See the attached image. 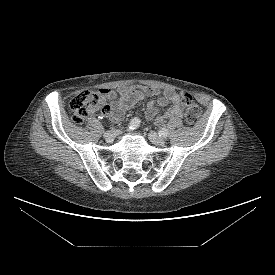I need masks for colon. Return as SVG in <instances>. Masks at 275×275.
<instances>
[{"instance_id":"5ec220e1","label":"colon","mask_w":275,"mask_h":275,"mask_svg":"<svg viewBox=\"0 0 275 275\" xmlns=\"http://www.w3.org/2000/svg\"><path fill=\"white\" fill-rule=\"evenodd\" d=\"M182 102L185 106L186 121L195 124L200 118L201 108L190 94H183ZM69 106L73 112V121L82 124L93 111L104 110L107 103L101 92L82 91L71 99Z\"/></svg>"}]
</instances>
